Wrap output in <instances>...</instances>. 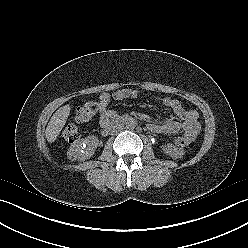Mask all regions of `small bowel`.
Returning <instances> with one entry per match:
<instances>
[{"label":"small bowel","mask_w":248,"mask_h":248,"mask_svg":"<svg viewBox=\"0 0 248 248\" xmlns=\"http://www.w3.org/2000/svg\"><path fill=\"white\" fill-rule=\"evenodd\" d=\"M137 90L130 88H122L115 90L111 95L103 92L99 95V115L100 125L104 127L108 122L117 117V113L108 108V104L113 98L122 101L129 98H136ZM157 100L165 107L170 108L180 121H167L164 123H149L148 129L155 134L173 135L179 132L191 141L195 140L200 131V123L198 121V113L195 110L185 108L178 100L168 96L157 98Z\"/></svg>","instance_id":"small-bowel-1"}]
</instances>
